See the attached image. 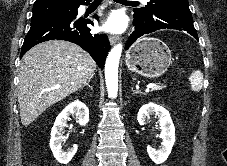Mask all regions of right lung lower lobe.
I'll return each mask as SVG.
<instances>
[{
  "label": "right lung lower lobe",
  "instance_id": "1",
  "mask_svg": "<svg viewBox=\"0 0 227 166\" xmlns=\"http://www.w3.org/2000/svg\"><path fill=\"white\" fill-rule=\"evenodd\" d=\"M84 2L76 5L77 8ZM87 24L93 25L89 19L72 15H54L31 22V28L25 37L20 58L33 46L48 40L59 39L75 43L87 51L103 69L110 43L104 34H91Z\"/></svg>",
  "mask_w": 227,
  "mask_h": 166
}]
</instances>
